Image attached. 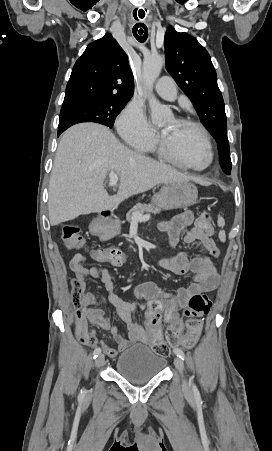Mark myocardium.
<instances>
[{
  "label": "myocardium",
  "mask_w": 272,
  "mask_h": 451,
  "mask_svg": "<svg viewBox=\"0 0 272 451\" xmlns=\"http://www.w3.org/2000/svg\"><path fill=\"white\" fill-rule=\"evenodd\" d=\"M174 120L177 121L180 124H183V125L195 128L199 132V134H200V136H201V138H202V140H203V142H204V144H205V146L207 148V151L209 153V162L206 165V167H204L202 169L193 168V167H191V166H189V165H187V164H185L183 162H182V165H179V164L178 165L181 168H183L184 170L189 171V172H204V171L210 169L213 166L214 161H215V153H214V149H213V146L211 144V141H210V139L208 137V134H207L206 130L204 129V127L201 124L197 123V122H194L192 120H189V119H186V118H182V117H175ZM161 147H162L163 152L165 154H167L169 145H168L167 140H166V134H165V132L163 130L161 131ZM171 160L174 163H176V164H177V162H179V158H177V156L172 157Z\"/></svg>",
  "instance_id": "f54148a6"
}]
</instances>
